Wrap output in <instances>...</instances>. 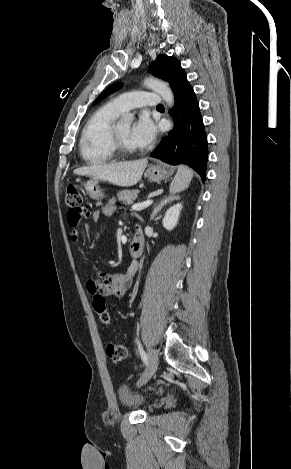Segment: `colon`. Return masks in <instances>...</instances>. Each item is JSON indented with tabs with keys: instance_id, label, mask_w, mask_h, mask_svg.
<instances>
[{
	"instance_id": "1",
	"label": "colon",
	"mask_w": 291,
	"mask_h": 469,
	"mask_svg": "<svg viewBox=\"0 0 291 469\" xmlns=\"http://www.w3.org/2000/svg\"><path fill=\"white\" fill-rule=\"evenodd\" d=\"M66 204L71 210L77 211L79 215L89 213L87 209L82 207V195L76 186L71 185L67 188ZM108 299L109 296L106 293H96L93 301L94 309L101 323L105 326L111 325V317L106 308V301ZM106 353L111 360L119 362L126 358L127 348L121 343H110L106 347Z\"/></svg>"
}]
</instances>
